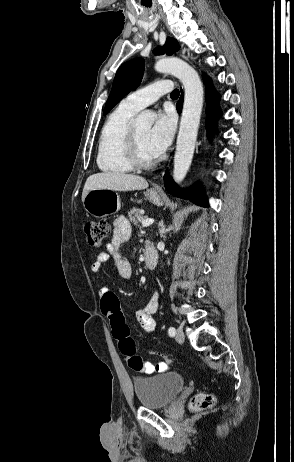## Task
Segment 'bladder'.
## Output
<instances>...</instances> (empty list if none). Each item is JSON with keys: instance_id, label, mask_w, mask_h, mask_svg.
Returning <instances> with one entry per match:
<instances>
[{"instance_id": "1", "label": "bladder", "mask_w": 294, "mask_h": 462, "mask_svg": "<svg viewBox=\"0 0 294 462\" xmlns=\"http://www.w3.org/2000/svg\"><path fill=\"white\" fill-rule=\"evenodd\" d=\"M134 391L139 403L146 408L158 409L172 404L185 387V379L173 372L137 378Z\"/></svg>"}]
</instances>
